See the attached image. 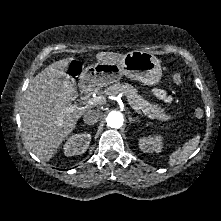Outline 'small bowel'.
Listing matches in <instances>:
<instances>
[{
  "label": "small bowel",
  "instance_id": "c3829d8e",
  "mask_svg": "<svg viewBox=\"0 0 221 221\" xmlns=\"http://www.w3.org/2000/svg\"><path fill=\"white\" fill-rule=\"evenodd\" d=\"M153 93L162 102L167 103V104L170 103L171 97L168 95V93L164 89L155 88L153 90Z\"/></svg>",
  "mask_w": 221,
  "mask_h": 221
}]
</instances>
